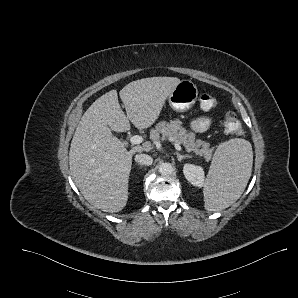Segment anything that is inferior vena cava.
I'll return each instance as SVG.
<instances>
[{"label": "inferior vena cava", "instance_id": "inferior-vena-cava-1", "mask_svg": "<svg viewBox=\"0 0 298 298\" xmlns=\"http://www.w3.org/2000/svg\"><path fill=\"white\" fill-rule=\"evenodd\" d=\"M135 161L137 163L150 166L153 163V158L147 154H137L135 155Z\"/></svg>", "mask_w": 298, "mask_h": 298}]
</instances>
